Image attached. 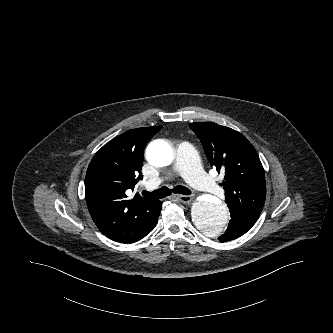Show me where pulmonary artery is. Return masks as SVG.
<instances>
[{"mask_svg": "<svg viewBox=\"0 0 333 333\" xmlns=\"http://www.w3.org/2000/svg\"><path fill=\"white\" fill-rule=\"evenodd\" d=\"M173 172L180 173L184 179L194 188L215 195L223 194L222 188L208 175H206L198 162L195 148L188 142H182L177 150ZM163 181L162 178L152 180L148 184L158 185Z\"/></svg>", "mask_w": 333, "mask_h": 333, "instance_id": "pulmonary-artery-1", "label": "pulmonary artery"}]
</instances>
